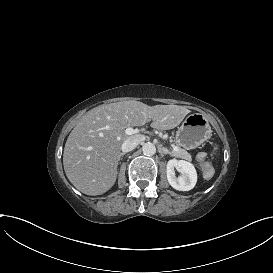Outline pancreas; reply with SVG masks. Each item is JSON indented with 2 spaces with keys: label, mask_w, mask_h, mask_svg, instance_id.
Instances as JSON below:
<instances>
[{
  "label": "pancreas",
  "mask_w": 273,
  "mask_h": 273,
  "mask_svg": "<svg viewBox=\"0 0 273 273\" xmlns=\"http://www.w3.org/2000/svg\"><path fill=\"white\" fill-rule=\"evenodd\" d=\"M178 147V146H177ZM180 148V147H179ZM171 154L175 157H178V158H182V159H186L188 161H191L192 158H191V155L185 150V149H182L180 148V151L179 152H175L174 150L171 151Z\"/></svg>",
  "instance_id": "1"
}]
</instances>
